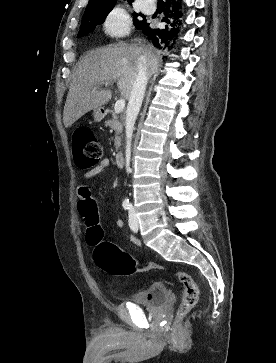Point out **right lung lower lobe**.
Returning <instances> with one entry per match:
<instances>
[{"instance_id":"1","label":"right lung lower lobe","mask_w":276,"mask_h":363,"mask_svg":"<svg viewBox=\"0 0 276 363\" xmlns=\"http://www.w3.org/2000/svg\"><path fill=\"white\" fill-rule=\"evenodd\" d=\"M164 13L166 17L163 20L169 23L165 29L150 27L145 22L139 27L153 45L162 50L172 48L175 40L178 39L181 33L183 17L181 0H166V10Z\"/></svg>"}]
</instances>
